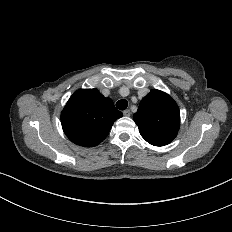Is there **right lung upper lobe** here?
I'll return each instance as SVG.
<instances>
[{
  "mask_svg": "<svg viewBox=\"0 0 232 232\" xmlns=\"http://www.w3.org/2000/svg\"><path fill=\"white\" fill-rule=\"evenodd\" d=\"M122 115L113 101L97 89H80L64 107L61 123L64 133L73 143L93 147L107 137L113 123Z\"/></svg>",
  "mask_w": 232,
  "mask_h": 232,
  "instance_id": "right-lung-upper-lobe-1",
  "label": "right lung upper lobe"
}]
</instances>
